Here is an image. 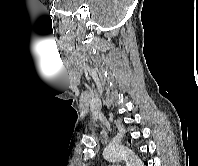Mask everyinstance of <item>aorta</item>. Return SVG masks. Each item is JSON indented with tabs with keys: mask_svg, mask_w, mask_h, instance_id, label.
Wrapping results in <instances>:
<instances>
[{
	"mask_svg": "<svg viewBox=\"0 0 198 166\" xmlns=\"http://www.w3.org/2000/svg\"><path fill=\"white\" fill-rule=\"evenodd\" d=\"M103 156L110 161L124 160L127 166H144L141 159L132 150L122 145L107 146Z\"/></svg>",
	"mask_w": 198,
	"mask_h": 166,
	"instance_id": "obj_1",
	"label": "aorta"
}]
</instances>
